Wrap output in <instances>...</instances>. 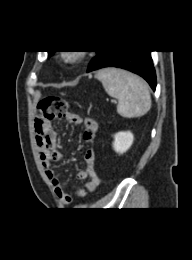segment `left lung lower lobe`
I'll use <instances>...</instances> for the list:
<instances>
[{
    "instance_id": "1",
    "label": "left lung lower lobe",
    "mask_w": 192,
    "mask_h": 260,
    "mask_svg": "<svg viewBox=\"0 0 192 260\" xmlns=\"http://www.w3.org/2000/svg\"><path fill=\"white\" fill-rule=\"evenodd\" d=\"M104 67H118L134 72L143 77L153 90L156 88V74L149 50H102L89 64L87 72Z\"/></svg>"
}]
</instances>
